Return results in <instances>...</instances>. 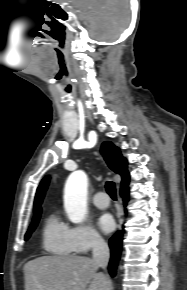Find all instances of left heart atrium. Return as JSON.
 Instances as JSON below:
<instances>
[{"label":"left heart atrium","instance_id":"39dd6f15","mask_svg":"<svg viewBox=\"0 0 187 290\" xmlns=\"http://www.w3.org/2000/svg\"><path fill=\"white\" fill-rule=\"evenodd\" d=\"M97 224L99 228L105 233L112 231L115 225L112 216L107 213L99 216L97 220Z\"/></svg>","mask_w":187,"mask_h":290}]
</instances>
